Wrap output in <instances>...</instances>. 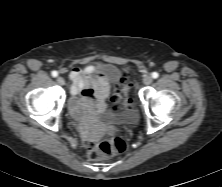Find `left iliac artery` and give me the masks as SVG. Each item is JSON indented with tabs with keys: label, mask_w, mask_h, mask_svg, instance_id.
<instances>
[{
	"label": "left iliac artery",
	"mask_w": 222,
	"mask_h": 187,
	"mask_svg": "<svg viewBox=\"0 0 222 187\" xmlns=\"http://www.w3.org/2000/svg\"><path fill=\"white\" fill-rule=\"evenodd\" d=\"M152 77H153V78H158V77H159V74H158L157 72H153V73H152Z\"/></svg>",
	"instance_id": "left-iliac-artery-1"
}]
</instances>
